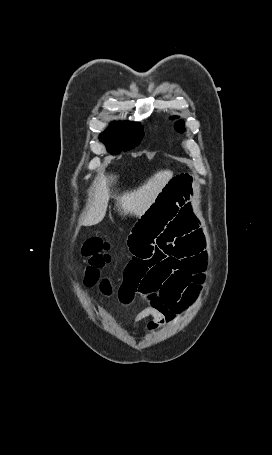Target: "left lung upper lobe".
I'll return each instance as SVG.
<instances>
[{
    "mask_svg": "<svg viewBox=\"0 0 272 455\" xmlns=\"http://www.w3.org/2000/svg\"><path fill=\"white\" fill-rule=\"evenodd\" d=\"M173 118H175V117H172V119H173ZM175 128H176V130L179 131V132H184V130H185V129H184V125H183V123H182L181 121H180V122H177V123L175 124Z\"/></svg>",
    "mask_w": 272,
    "mask_h": 455,
    "instance_id": "5c2ea615",
    "label": "left lung upper lobe"
}]
</instances>
